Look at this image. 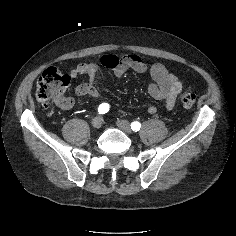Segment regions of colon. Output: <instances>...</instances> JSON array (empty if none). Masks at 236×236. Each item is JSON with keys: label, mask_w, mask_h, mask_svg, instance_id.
<instances>
[{"label": "colon", "mask_w": 236, "mask_h": 236, "mask_svg": "<svg viewBox=\"0 0 236 236\" xmlns=\"http://www.w3.org/2000/svg\"><path fill=\"white\" fill-rule=\"evenodd\" d=\"M69 84L70 76L55 67H50L37 80V98L41 103L53 101L58 104L63 100ZM195 100V95L192 93H183L180 96V102L184 107H191Z\"/></svg>", "instance_id": "5ec220e1"}]
</instances>
